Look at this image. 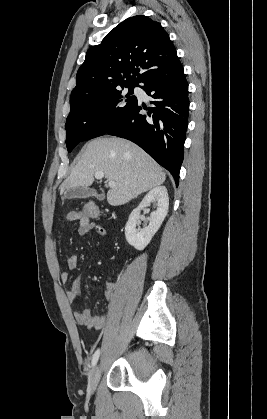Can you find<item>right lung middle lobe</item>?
<instances>
[{
    "label": "right lung middle lobe",
    "mask_w": 267,
    "mask_h": 419,
    "mask_svg": "<svg viewBox=\"0 0 267 419\" xmlns=\"http://www.w3.org/2000/svg\"><path fill=\"white\" fill-rule=\"evenodd\" d=\"M102 92L70 103L71 111L66 121V146L68 152L80 142L106 134L119 122L137 101L133 87Z\"/></svg>",
    "instance_id": "dd1d6c3e"
}]
</instances>
